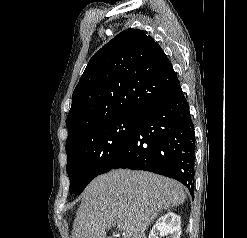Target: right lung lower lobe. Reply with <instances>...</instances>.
<instances>
[{"label":"right lung lower lobe","mask_w":247,"mask_h":238,"mask_svg":"<svg viewBox=\"0 0 247 238\" xmlns=\"http://www.w3.org/2000/svg\"><path fill=\"white\" fill-rule=\"evenodd\" d=\"M118 168L174 178L191 193L194 191V128L180 84L166 98L141 112L111 169Z\"/></svg>","instance_id":"1"}]
</instances>
